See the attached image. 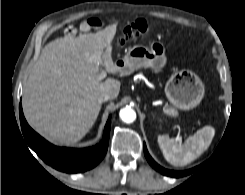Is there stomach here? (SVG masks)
Here are the masks:
<instances>
[{"label":"stomach","mask_w":245,"mask_h":195,"mask_svg":"<svg viewBox=\"0 0 245 195\" xmlns=\"http://www.w3.org/2000/svg\"><path fill=\"white\" fill-rule=\"evenodd\" d=\"M164 51L161 43L152 47L134 46L116 65L120 67L121 74H129L143 67L159 70L165 64ZM204 93V84L194 72L180 70L174 73L165 85V94L170 104L165 105L163 112L176 117L178 109L189 110L196 107L203 99Z\"/></svg>","instance_id":"stomach-1"}]
</instances>
